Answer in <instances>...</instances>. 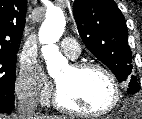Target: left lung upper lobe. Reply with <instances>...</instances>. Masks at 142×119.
Listing matches in <instances>:
<instances>
[{
	"mask_svg": "<svg viewBox=\"0 0 142 119\" xmlns=\"http://www.w3.org/2000/svg\"><path fill=\"white\" fill-rule=\"evenodd\" d=\"M73 13L79 34L88 50L114 73L127 81L128 93L140 90L132 75V53L125 18L113 0H75Z\"/></svg>",
	"mask_w": 142,
	"mask_h": 119,
	"instance_id": "left-lung-upper-lobe-1",
	"label": "left lung upper lobe"
}]
</instances>
